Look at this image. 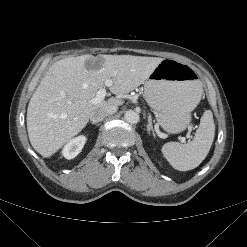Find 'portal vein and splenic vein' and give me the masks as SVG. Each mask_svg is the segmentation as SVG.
Instances as JSON below:
<instances>
[{
  "label": "portal vein and splenic vein",
  "instance_id": "18ae733b",
  "mask_svg": "<svg viewBox=\"0 0 247 247\" xmlns=\"http://www.w3.org/2000/svg\"><path fill=\"white\" fill-rule=\"evenodd\" d=\"M111 83L112 82L110 80H107L105 82V86H111ZM106 94H107L106 88L105 87L100 88L97 91V93H96V97L94 98L93 103H99V102H101L105 98ZM180 141L182 143H184L185 142V138L184 137H181L180 138Z\"/></svg>",
  "mask_w": 247,
  "mask_h": 247
}]
</instances>
